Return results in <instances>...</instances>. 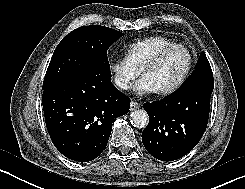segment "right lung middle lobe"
<instances>
[{
	"instance_id": "1",
	"label": "right lung middle lobe",
	"mask_w": 245,
	"mask_h": 189,
	"mask_svg": "<svg viewBox=\"0 0 245 189\" xmlns=\"http://www.w3.org/2000/svg\"><path fill=\"white\" fill-rule=\"evenodd\" d=\"M123 35L115 29L99 25L73 30L56 47L42 89L68 82L94 67L110 69L107 50Z\"/></svg>"
}]
</instances>
